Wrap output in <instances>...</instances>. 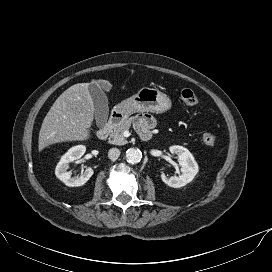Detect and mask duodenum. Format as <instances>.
<instances>
[{
    "mask_svg": "<svg viewBox=\"0 0 272 272\" xmlns=\"http://www.w3.org/2000/svg\"><path fill=\"white\" fill-rule=\"evenodd\" d=\"M123 119V114L120 110H116L113 112L108 121L97 131V136L100 139H106L110 134V131L114 128V126Z\"/></svg>",
    "mask_w": 272,
    "mask_h": 272,
    "instance_id": "obj_1",
    "label": "duodenum"
}]
</instances>
